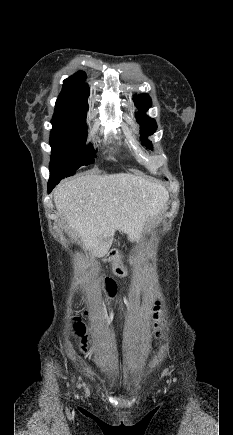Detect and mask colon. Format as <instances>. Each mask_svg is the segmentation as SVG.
<instances>
[{"label": "colon", "mask_w": 233, "mask_h": 435, "mask_svg": "<svg viewBox=\"0 0 233 435\" xmlns=\"http://www.w3.org/2000/svg\"><path fill=\"white\" fill-rule=\"evenodd\" d=\"M99 279H104V275H99ZM160 286L157 285L156 289L153 291L152 297L154 299L159 298L160 296ZM147 300V295H143L142 297H140V303H143ZM158 302H154V304L152 305V308L155 309L157 308ZM77 328H78V334L81 337L82 343H83V348L86 349L87 346V341H88V331H87V327L86 324L82 321L81 318H77Z\"/></svg>", "instance_id": "5ec220e1"}]
</instances>
